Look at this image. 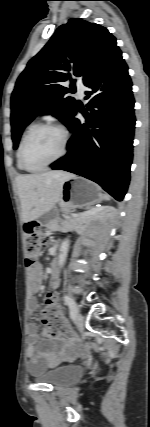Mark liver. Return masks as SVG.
Listing matches in <instances>:
<instances>
[{"label":"liver","mask_w":150,"mask_h":427,"mask_svg":"<svg viewBox=\"0 0 150 427\" xmlns=\"http://www.w3.org/2000/svg\"><path fill=\"white\" fill-rule=\"evenodd\" d=\"M74 177L63 171L18 176L16 179L23 222L38 219L59 201L65 181Z\"/></svg>","instance_id":"liver-1"}]
</instances>
